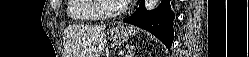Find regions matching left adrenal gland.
<instances>
[{"mask_svg":"<svg viewBox=\"0 0 249 57\" xmlns=\"http://www.w3.org/2000/svg\"><path fill=\"white\" fill-rule=\"evenodd\" d=\"M126 48H127V52L125 54V57H132L134 46L133 45H127Z\"/></svg>","mask_w":249,"mask_h":57,"instance_id":"left-adrenal-gland-1","label":"left adrenal gland"}]
</instances>
